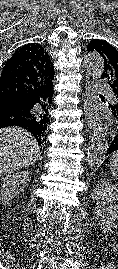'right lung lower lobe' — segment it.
Here are the masks:
<instances>
[{
    "label": "right lung lower lobe",
    "mask_w": 118,
    "mask_h": 269,
    "mask_svg": "<svg viewBox=\"0 0 118 269\" xmlns=\"http://www.w3.org/2000/svg\"><path fill=\"white\" fill-rule=\"evenodd\" d=\"M36 104V97L31 94H0V128L20 126L32 132L35 126ZM45 140V135L37 139L39 146Z\"/></svg>",
    "instance_id": "right-lung-lower-lobe-1"
}]
</instances>
